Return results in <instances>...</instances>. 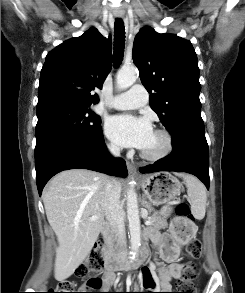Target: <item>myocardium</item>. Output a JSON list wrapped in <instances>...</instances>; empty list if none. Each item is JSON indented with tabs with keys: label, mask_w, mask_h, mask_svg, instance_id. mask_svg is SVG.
<instances>
[{
	"label": "myocardium",
	"mask_w": 245,
	"mask_h": 293,
	"mask_svg": "<svg viewBox=\"0 0 245 293\" xmlns=\"http://www.w3.org/2000/svg\"><path fill=\"white\" fill-rule=\"evenodd\" d=\"M155 133L160 134L164 138V147L163 149L156 154L146 153L143 150L140 153V156L148 161H158L166 158L172 152L174 148V139L172 134L164 128H158L155 130Z\"/></svg>",
	"instance_id": "f54148a6"
}]
</instances>
